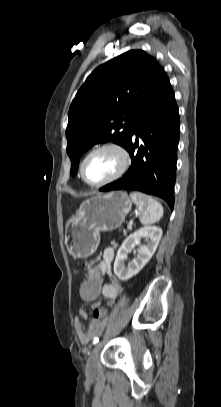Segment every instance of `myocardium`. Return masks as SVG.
<instances>
[{
    "label": "myocardium",
    "mask_w": 221,
    "mask_h": 407,
    "mask_svg": "<svg viewBox=\"0 0 221 407\" xmlns=\"http://www.w3.org/2000/svg\"><path fill=\"white\" fill-rule=\"evenodd\" d=\"M103 150L115 151L121 159V165H120L118 171L114 175L109 177L108 179L101 181V182H97V183L90 182L87 180V178L85 176L86 162L92 155H94L100 151H103ZM130 165H131V156H130L129 151L120 143L108 142V143H104V144L94 148L84 157V159L82 160L81 165H80V176H81L82 180L89 186L102 187V186L108 185V184L120 179L128 171Z\"/></svg>",
    "instance_id": "myocardium-1"
}]
</instances>
